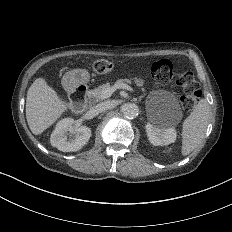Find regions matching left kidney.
<instances>
[{"mask_svg":"<svg viewBox=\"0 0 232 232\" xmlns=\"http://www.w3.org/2000/svg\"><path fill=\"white\" fill-rule=\"evenodd\" d=\"M146 132L150 143L155 146L169 145L176 140V130L159 119L148 122Z\"/></svg>","mask_w":232,"mask_h":232,"instance_id":"left-kidney-1","label":"left kidney"}]
</instances>
